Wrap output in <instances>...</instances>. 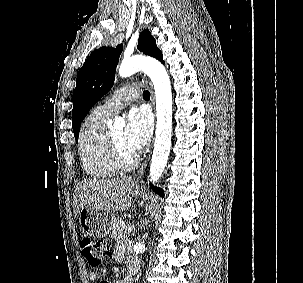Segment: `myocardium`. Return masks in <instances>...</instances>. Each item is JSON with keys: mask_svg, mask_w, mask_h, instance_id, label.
<instances>
[{"mask_svg": "<svg viewBox=\"0 0 303 283\" xmlns=\"http://www.w3.org/2000/svg\"><path fill=\"white\" fill-rule=\"evenodd\" d=\"M106 138L108 152L113 166L118 171L133 169L138 163V157L135 154L130 158L125 157L110 131H107Z\"/></svg>", "mask_w": 303, "mask_h": 283, "instance_id": "f54148a6", "label": "myocardium"}]
</instances>
